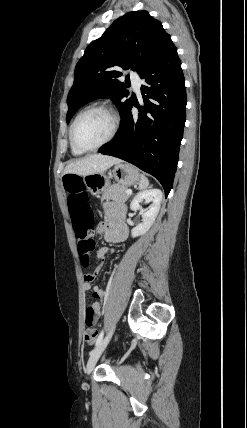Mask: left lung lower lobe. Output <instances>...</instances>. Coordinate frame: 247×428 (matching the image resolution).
I'll return each instance as SVG.
<instances>
[{"mask_svg": "<svg viewBox=\"0 0 247 428\" xmlns=\"http://www.w3.org/2000/svg\"><path fill=\"white\" fill-rule=\"evenodd\" d=\"M143 106L131 113L129 100L121 114L118 136L99 152L123 159L153 175L165 196L172 189L186 121V89L177 48L161 55L141 75Z\"/></svg>", "mask_w": 247, "mask_h": 428, "instance_id": "1", "label": "left lung lower lobe"}]
</instances>
